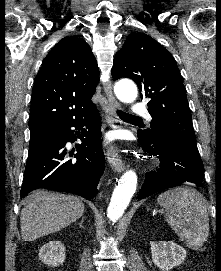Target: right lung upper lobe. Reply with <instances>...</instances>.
<instances>
[{
	"label": "right lung upper lobe",
	"mask_w": 221,
	"mask_h": 271,
	"mask_svg": "<svg viewBox=\"0 0 221 271\" xmlns=\"http://www.w3.org/2000/svg\"><path fill=\"white\" fill-rule=\"evenodd\" d=\"M99 70L84 39L65 37L43 60L35 77L29 129L59 127L96 109L91 97Z\"/></svg>",
	"instance_id": "right-lung-upper-lobe-1"
}]
</instances>
